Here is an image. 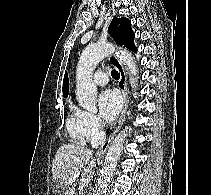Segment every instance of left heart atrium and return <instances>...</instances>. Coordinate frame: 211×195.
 <instances>
[{
	"instance_id": "39dd6f15",
	"label": "left heart atrium",
	"mask_w": 211,
	"mask_h": 195,
	"mask_svg": "<svg viewBox=\"0 0 211 195\" xmlns=\"http://www.w3.org/2000/svg\"><path fill=\"white\" fill-rule=\"evenodd\" d=\"M98 104L101 118L107 123L114 122L121 109V99L118 93L113 90L103 91L99 96Z\"/></svg>"
}]
</instances>
